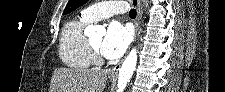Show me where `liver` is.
<instances>
[{
	"label": "liver",
	"mask_w": 225,
	"mask_h": 92,
	"mask_svg": "<svg viewBox=\"0 0 225 92\" xmlns=\"http://www.w3.org/2000/svg\"><path fill=\"white\" fill-rule=\"evenodd\" d=\"M107 75V70L56 68L49 92H103Z\"/></svg>",
	"instance_id": "6515ba94"
}]
</instances>
